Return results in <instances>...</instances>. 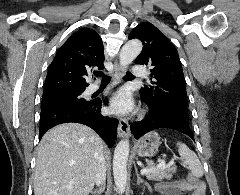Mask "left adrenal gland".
Returning a JSON list of instances; mask_svg holds the SVG:
<instances>
[{
  "mask_svg": "<svg viewBox=\"0 0 240 195\" xmlns=\"http://www.w3.org/2000/svg\"><path fill=\"white\" fill-rule=\"evenodd\" d=\"M134 169H135V173L137 175V179H136L137 183H143V185H148V187H150L149 183H147V181H144V179H142V177H140L135 163H134Z\"/></svg>",
  "mask_w": 240,
  "mask_h": 195,
  "instance_id": "1",
  "label": "left adrenal gland"
}]
</instances>
